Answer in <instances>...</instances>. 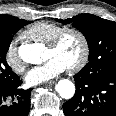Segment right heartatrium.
Returning a JSON list of instances; mask_svg holds the SVG:
<instances>
[{
	"label": "right heart atrium",
	"mask_w": 116,
	"mask_h": 116,
	"mask_svg": "<svg viewBox=\"0 0 116 116\" xmlns=\"http://www.w3.org/2000/svg\"><path fill=\"white\" fill-rule=\"evenodd\" d=\"M4 60L7 66L15 73H22L26 68L25 62L18 52L16 40H12L7 45L4 53Z\"/></svg>",
	"instance_id": "obj_1"
}]
</instances>
